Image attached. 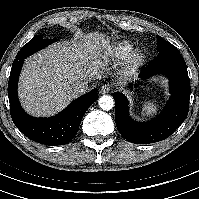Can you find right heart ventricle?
<instances>
[{
	"instance_id": "obj_1",
	"label": "right heart ventricle",
	"mask_w": 199,
	"mask_h": 199,
	"mask_svg": "<svg viewBox=\"0 0 199 199\" xmlns=\"http://www.w3.org/2000/svg\"><path fill=\"white\" fill-rule=\"evenodd\" d=\"M133 46L131 43L123 41L115 44L110 49V55L116 60H124L132 51Z\"/></svg>"
}]
</instances>
